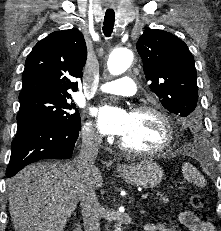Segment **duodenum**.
I'll return each mask as SVG.
<instances>
[{"label": "duodenum", "instance_id": "410a0bca", "mask_svg": "<svg viewBox=\"0 0 221 231\" xmlns=\"http://www.w3.org/2000/svg\"><path fill=\"white\" fill-rule=\"evenodd\" d=\"M75 231H82L79 223L76 224Z\"/></svg>", "mask_w": 221, "mask_h": 231}]
</instances>
